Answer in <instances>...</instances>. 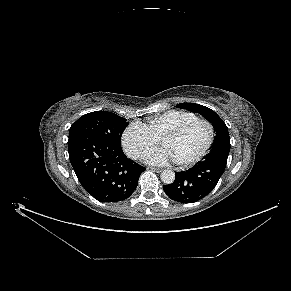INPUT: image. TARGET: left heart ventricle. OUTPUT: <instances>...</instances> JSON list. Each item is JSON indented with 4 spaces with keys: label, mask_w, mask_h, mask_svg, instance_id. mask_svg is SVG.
I'll use <instances>...</instances> for the list:
<instances>
[{
    "label": "left heart ventricle",
    "mask_w": 291,
    "mask_h": 291,
    "mask_svg": "<svg viewBox=\"0 0 291 291\" xmlns=\"http://www.w3.org/2000/svg\"><path fill=\"white\" fill-rule=\"evenodd\" d=\"M207 138V127L203 124H198L182 136L166 139L162 144L173 152L177 161H186L202 150Z\"/></svg>",
    "instance_id": "b2bd125f"
}]
</instances>
